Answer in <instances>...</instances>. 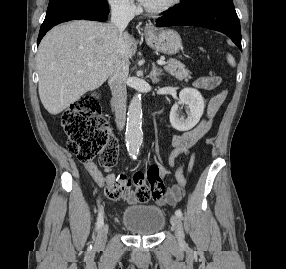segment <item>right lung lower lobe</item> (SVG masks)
<instances>
[{"label":"right lung lower lobe","instance_id":"1","mask_svg":"<svg viewBox=\"0 0 286 269\" xmlns=\"http://www.w3.org/2000/svg\"><path fill=\"white\" fill-rule=\"evenodd\" d=\"M108 13L95 11L91 9L79 8L64 11L49 17H45L43 24L41 25L37 44L40 43L43 36L49 31L52 27L62 22L75 20V19H86V20H95L104 22L107 20Z\"/></svg>","mask_w":286,"mask_h":269}]
</instances>
